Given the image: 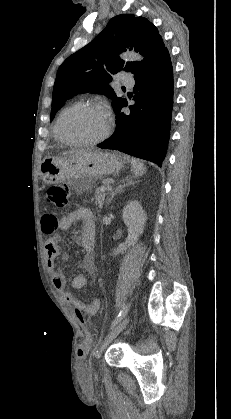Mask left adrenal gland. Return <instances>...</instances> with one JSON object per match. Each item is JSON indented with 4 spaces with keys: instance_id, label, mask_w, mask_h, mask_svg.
<instances>
[{
    "instance_id": "1",
    "label": "left adrenal gland",
    "mask_w": 231,
    "mask_h": 419,
    "mask_svg": "<svg viewBox=\"0 0 231 419\" xmlns=\"http://www.w3.org/2000/svg\"><path fill=\"white\" fill-rule=\"evenodd\" d=\"M134 185V182L129 180L128 178H125L124 180H121V184L115 189V191L111 194V197L108 199L107 205L112 201V199L120 193L125 187Z\"/></svg>"
}]
</instances>
